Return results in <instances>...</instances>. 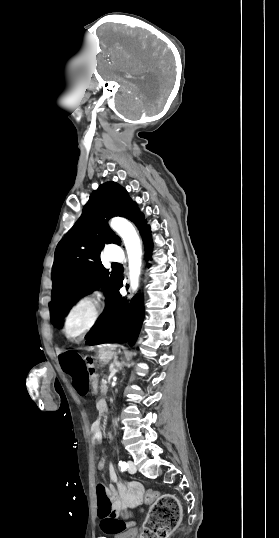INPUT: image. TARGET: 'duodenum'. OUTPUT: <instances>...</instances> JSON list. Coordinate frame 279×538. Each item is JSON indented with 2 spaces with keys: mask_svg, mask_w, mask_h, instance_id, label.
Masks as SVG:
<instances>
[{
  "mask_svg": "<svg viewBox=\"0 0 279 538\" xmlns=\"http://www.w3.org/2000/svg\"><path fill=\"white\" fill-rule=\"evenodd\" d=\"M91 369H94V366H91ZM90 376L92 377L91 389L93 391H96L99 385L98 378L96 377L97 373L95 371H92L90 373ZM105 405H106V402L104 401V396H99V401L97 402L96 410H98L101 415H105L107 413V410L104 408Z\"/></svg>",
  "mask_w": 279,
  "mask_h": 538,
  "instance_id": "1",
  "label": "duodenum"
}]
</instances>
